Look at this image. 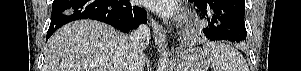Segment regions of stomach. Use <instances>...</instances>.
<instances>
[{"label":"stomach","instance_id":"obj_1","mask_svg":"<svg viewBox=\"0 0 301 71\" xmlns=\"http://www.w3.org/2000/svg\"><path fill=\"white\" fill-rule=\"evenodd\" d=\"M210 58L201 48L181 51L176 58V71H208Z\"/></svg>","mask_w":301,"mask_h":71}]
</instances>
